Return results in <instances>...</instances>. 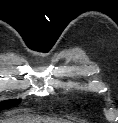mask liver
I'll return each mask as SVG.
<instances>
[{"instance_id":"liver-1","label":"liver","mask_w":118,"mask_h":123,"mask_svg":"<svg viewBox=\"0 0 118 123\" xmlns=\"http://www.w3.org/2000/svg\"><path fill=\"white\" fill-rule=\"evenodd\" d=\"M0 123H70L63 119H54L41 116H17L0 121Z\"/></svg>"}]
</instances>
